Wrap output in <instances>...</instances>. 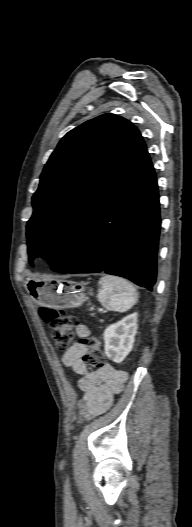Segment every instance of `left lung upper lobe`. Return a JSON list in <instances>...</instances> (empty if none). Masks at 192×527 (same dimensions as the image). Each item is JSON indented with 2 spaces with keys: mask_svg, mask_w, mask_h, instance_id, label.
<instances>
[{
  "mask_svg": "<svg viewBox=\"0 0 192 527\" xmlns=\"http://www.w3.org/2000/svg\"><path fill=\"white\" fill-rule=\"evenodd\" d=\"M146 150L128 120L103 114L68 132L51 154L32 198L29 259L55 265L117 179Z\"/></svg>",
  "mask_w": 192,
  "mask_h": 527,
  "instance_id": "obj_1",
  "label": "left lung upper lobe"
}]
</instances>
